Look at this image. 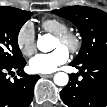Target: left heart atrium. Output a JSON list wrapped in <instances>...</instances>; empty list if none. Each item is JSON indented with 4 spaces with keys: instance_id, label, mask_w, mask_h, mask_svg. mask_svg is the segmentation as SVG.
<instances>
[{
    "instance_id": "left-heart-atrium-1",
    "label": "left heart atrium",
    "mask_w": 107,
    "mask_h": 107,
    "mask_svg": "<svg viewBox=\"0 0 107 107\" xmlns=\"http://www.w3.org/2000/svg\"><path fill=\"white\" fill-rule=\"evenodd\" d=\"M69 53L65 48H57L50 53L38 54L30 61V68L35 73L48 74L66 63Z\"/></svg>"
}]
</instances>
